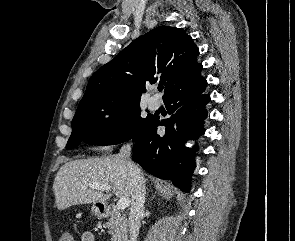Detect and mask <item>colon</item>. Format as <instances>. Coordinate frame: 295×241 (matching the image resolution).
<instances>
[{
	"label": "colon",
	"instance_id": "5ec220e1",
	"mask_svg": "<svg viewBox=\"0 0 295 241\" xmlns=\"http://www.w3.org/2000/svg\"><path fill=\"white\" fill-rule=\"evenodd\" d=\"M62 241H74L69 233H63L61 235Z\"/></svg>",
	"mask_w": 295,
	"mask_h": 241
}]
</instances>
